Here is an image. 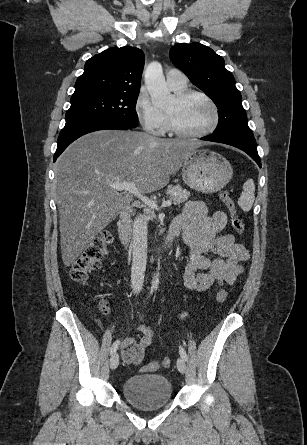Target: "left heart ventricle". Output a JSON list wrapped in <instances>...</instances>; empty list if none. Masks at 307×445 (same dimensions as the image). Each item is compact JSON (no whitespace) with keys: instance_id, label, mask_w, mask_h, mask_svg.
<instances>
[{"instance_id":"obj_1","label":"left heart ventricle","mask_w":307,"mask_h":445,"mask_svg":"<svg viewBox=\"0 0 307 445\" xmlns=\"http://www.w3.org/2000/svg\"><path fill=\"white\" fill-rule=\"evenodd\" d=\"M182 130L197 133L209 128L214 120L211 106L198 97L178 101L173 95L163 108Z\"/></svg>"}]
</instances>
